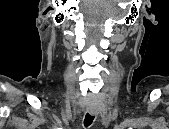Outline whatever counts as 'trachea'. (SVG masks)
Listing matches in <instances>:
<instances>
[{"label": "trachea", "instance_id": "1", "mask_svg": "<svg viewBox=\"0 0 169 129\" xmlns=\"http://www.w3.org/2000/svg\"><path fill=\"white\" fill-rule=\"evenodd\" d=\"M94 120V116L87 113L84 118V126L89 127Z\"/></svg>", "mask_w": 169, "mask_h": 129}]
</instances>
